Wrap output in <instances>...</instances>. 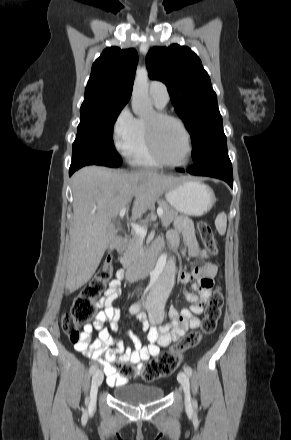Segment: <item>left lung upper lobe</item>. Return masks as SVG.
<instances>
[{"mask_svg":"<svg viewBox=\"0 0 291 440\" xmlns=\"http://www.w3.org/2000/svg\"><path fill=\"white\" fill-rule=\"evenodd\" d=\"M149 77L164 82L178 116L191 135L192 157L199 163L227 145L217 96L199 57L188 47H154L146 58Z\"/></svg>","mask_w":291,"mask_h":440,"instance_id":"left-lung-upper-lobe-1","label":"left lung upper lobe"}]
</instances>
